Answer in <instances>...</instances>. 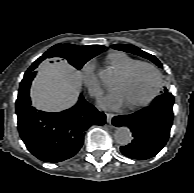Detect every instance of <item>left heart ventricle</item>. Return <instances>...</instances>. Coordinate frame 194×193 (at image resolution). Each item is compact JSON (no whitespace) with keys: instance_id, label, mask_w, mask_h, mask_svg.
<instances>
[{"instance_id":"b2bd125f","label":"left heart ventricle","mask_w":194,"mask_h":193,"mask_svg":"<svg viewBox=\"0 0 194 193\" xmlns=\"http://www.w3.org/2000/svg\"><path fill=\"white\" fill-rule=\"evenodd\" d=\"M156 87V75L149 67L138 68L129 78L120 76L114 83L123 98L124 104H138L145 101Z\"/></svg>"}]
</instances>
